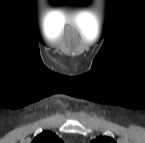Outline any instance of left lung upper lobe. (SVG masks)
I'll use <instances>...</instances> for the list:
<instances>
[{
    "instance_id": "1",
    "label": "left lung upper lobe",
    "mask_w": 145,
    "mask_h": 143,
    "mask_svg": "<svg viewBox=\"0 0 145 143\" xmlns=\"http://www.w3.org/2000/svg\"><path fill=\"white\" fill-rule=\"evenodd\" d=\"M93 143H115L111 137L101 136L92 141Z\"/></svg>"
}]
</instances>
